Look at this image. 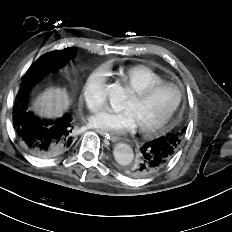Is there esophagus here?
Segmentation results:
<instances>
[{
    "mask_svg": "<svg viewBox=\"0 0 232 232\" xmlns=\"http://www.w3.org/2000/svg\"><path fill=\"white\" fill-rule=\"evenodd\" d=\"M95 131L97 133H99L100 135H102L105 139H107L109 141H112V142L118 141L117 137H114V136H112L111 134H109V133H107L105 131H102V130H99V129H95Z\"/></svg>",
    "mask_w": 232,
    "mask_h": 232,
    "instance_id": "1",
    "label": "esophagus"
}]
</instances>
